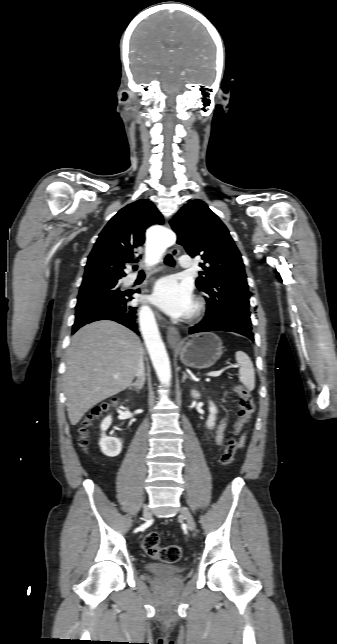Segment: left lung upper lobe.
Returning a JSON list of instances; mask_svg holds the SVG:
<instances>
[{"label": "left lung upper lobe", "mask_w": 337, "mask_h": 644, "mask_svg": "<svg viewBox=\"0 0 337 644\" xmlns=\"http://www.w3.org/2000/svg\"><path fill=\"white\" fill-rule=\"evenodd\" d=\"M170 224L177 243L191 257L200 256L204 261L196 286L207 294L206 315L225 317L252 329L244 264L223 222L203 201L192 200Z\"/></svg>", "instance_id": "obj_1"}]
</instances>
